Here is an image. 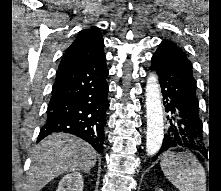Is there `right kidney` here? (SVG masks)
Instances as JSON below:
<instances>
[{
    "instance_id": "1",
    "label": "right kidney",
    "mask_w": 221,
    "mask_h": 191,
    "mask_svg": "<svg viewBox=\"0 0 221 191\" xmlns=\"http://www.w3.org/2000/svg\"><path fill=\"white\" fill-rule=\"evenodd\" d=\"M57 191H83V177L79 172L65 175L59 182Z\"/></svg>"
}]
</instances>
